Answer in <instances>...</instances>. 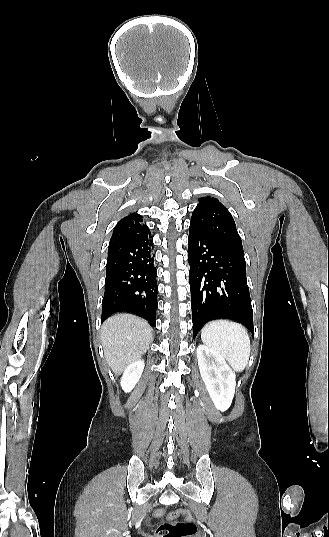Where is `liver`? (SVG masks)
<instances>
[{
  "instance_id": "1",
  "label": "liver",
  "mask_w": 329,
  "mask_h": 537,
  "mask_svg": "<svg viewBox=\"0 0 329 537\" xmlns=\"http://www.w3.org/2000/svg\"><path fill=\"white\" fill-rule=\"evenodd\" d=\"M152 339L150 325L130 314L114 315L101 328L105 359L115 375H120L128 365L139 360Z\"/></svg>"
}]
</instances>
